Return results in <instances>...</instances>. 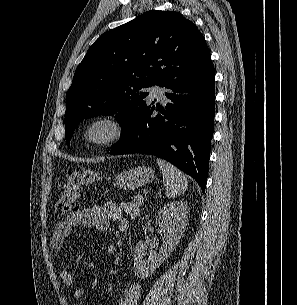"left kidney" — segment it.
<instances>
[{
	"mask_svg": "<svg viewBox=\"0 0 297 305\" xmlns=\"http://www.w3.org/2000/svg\"><path fill=\"white\" fill-rule=\"evenodd\" d=\"M188 204L175 201L159 210L156 223L164 231L166 238L159 252L149 251L148 245L140 241L135 247L134 269L139 278L149 277L176 248L183 236L188 220Z\"/></svg>",
	"mask_w": 297,
	"mask_h": 305,
	"instance_id": "5707ae66",
	"label": "left kidney"
}]
</instances>
